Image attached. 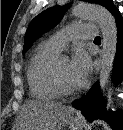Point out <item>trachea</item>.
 I'll return each mask as SVG.
<instances>
[{
  "label": "trachea",
  "mask_w": 123,
  "mask_h": 130,
  "mask_svg": "<svg viewBox=\"0 0 123 130\" xmlns=\"http://www.w3.org/2000/svg\"><path fill=\"white\" fill-rule=\"evenodd\" d=\"M95 41H100L101 40V37H96L95 39H94Z\"/></svg>",
  "instance_id": "trachea-1"
}]
</instances>
